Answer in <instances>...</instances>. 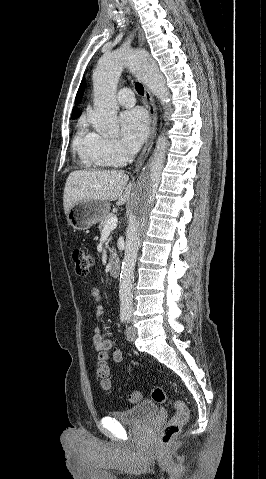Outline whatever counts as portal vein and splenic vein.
Masks as SVG:
<instances>
[{"instance_id":"18ae733b","label":"portal vein and splenic vein","mask_w":266,"mask_h":479,"mask_svg":"<svg viewBox=\"0 0 266 479\" xmlns=\"http://www.w3.org/2000/svg\"><path fill=\"white\" fill-rule=\"evenodd\" d=\"M117 223H118L117 217H116V216L111 217V218L107 221V223H106V225H105V227H104V229H103V232H109V231L115 229L116 226H117Z\"/></svg>"}]
</instances>
